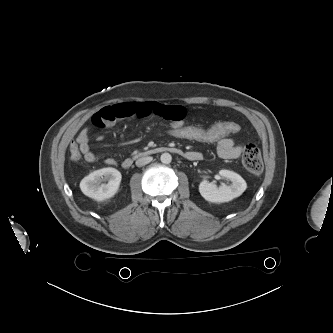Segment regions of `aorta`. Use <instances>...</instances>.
I'll use <instances>...</instances> for the list:
<instances>
[{
  "mask_svg": "<svg viewBox=\"0 0 333 333\" xmlns=\"http://www.w3.org/2000/svg\"><path fill=\"white\" fill-rule=\"evenodd\" d=\"M160 160L164 164H169L172 161V156L169 153H163Z\"/></svg>",
  "mask_w": 333,
  "mask_h": 333,
  "instance_id": "obj_1",
  "label": "aorta"
}]
</instances>
